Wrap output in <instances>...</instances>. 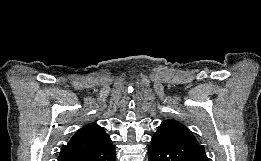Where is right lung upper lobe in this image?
Wrapping results in <instances>:
<instances>
[{
	"label": "right lung upper lobe",
	"mask_w": 261,
	"mask_h": 161,
	"mask_svg": "<svg viewBox=\"0 0 261 161\" xmlns=\"http://www.w3.org/2000/svg\"><path fill=\"white\" fill-rule=\"evenodd\" d=\"M111 143L104 129L94 123L79 129L67 145L62 147L59 157L94 151Z\"/></svg>",
	"instance_id": "obj_1"
}]
</instances>
